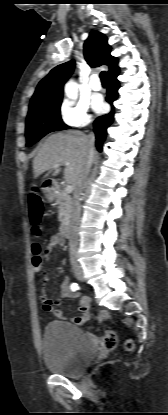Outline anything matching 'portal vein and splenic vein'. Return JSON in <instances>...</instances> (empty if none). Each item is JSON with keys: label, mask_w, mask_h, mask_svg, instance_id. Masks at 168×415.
<instances>
[{"label": "portal vein and splenic vein", "mask_w": 168, "mask_h": 415, "mask_svg": "<svg viewBox=\"0 0 168 415\" xmlns=\"http://www.w3.org/2000/svg\"><path fill=\"white\" fill-rule=\"evenodd\" d=\"M65 165L66 166H69V163H65ZM59 166V164L58 163H56V164H54V167H58ZM73 191V187H72V185H66V187H65V192L67 193V194H69V193H71Z\"/></svg>", "instance_id": "1"}]
</instances>
